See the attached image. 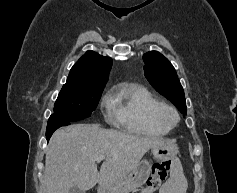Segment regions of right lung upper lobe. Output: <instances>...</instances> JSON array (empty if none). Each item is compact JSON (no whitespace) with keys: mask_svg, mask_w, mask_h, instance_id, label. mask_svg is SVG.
I'll return each mask as SVG.
<instances>
[{"mask_svg":"<svg viewBox=\"0 0 237 193\" xmlns=\"http://www.w3.org/2000/svg\"><path fill=\"white\" fill-rule=\"evenodd\" d=\"M112 66V59L87 51L71 68L67 85L104 87Z\"/></svg>","mask_w":237,"mask_h":193,"instance_id":"cb5924a9","label":"right lung upper lobe"}]
</instances>
